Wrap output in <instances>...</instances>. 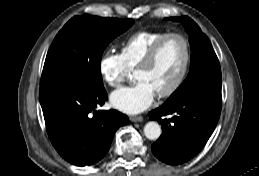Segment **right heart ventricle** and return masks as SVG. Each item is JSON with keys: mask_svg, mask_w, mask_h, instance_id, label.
Listing matches in <instances>:
<instances>
[{"mask_svg": "<svg viewBox=\"0 0 259 176\" xmlns=\"http://www.w3.org/2000/svg\"><path fill=\"white\" fill-rule=\"evenodd\" d=\"M166 33V31L143 30L130 35L120 50V56L127 68L135 69L154 43Z\"/></svg>", "mask_w": 259, "mask_h": 176, "instance_id": "1", "label": "right heart ventricle"}]
</instances>
